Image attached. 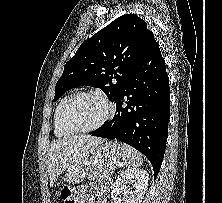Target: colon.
<instances>
[{
    "label": "colon",
    "mask_w": 222,
    "mask_h": 203,
    "mask_svg": "<svg viewBox=\"0 0 222 203\" xmlns=\"http://www.w3.org/2000/svg\"><path fill=\"white\" fill-rule=\"evenodd\" d=\"M61 196L65 200V203H74V192L71 188H64L61 192Z\"/></svg>",
    "instance_id": "1"
}]
</instances>
